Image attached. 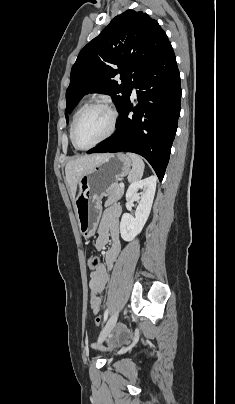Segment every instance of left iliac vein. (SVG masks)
<instances>
[{
	"instance_id": "left-iliac-vein-1",
	"label": "left iliac vein",
	"mask_w": 235,
	"mask_h": 404,
	"mask_svg": "<svg viewBox=\"0 0 235 404\" xmlns=\"http://www.w3.org/2000/svg\"><path fill=\"white\" fill-rule=\"evenodd\" d=\"M118 319V312H115L107 321L106 325L104 326V328L102 329L99 338H98V344H101L106 338L107 336L111 333V331L113 330V328L116 325Z\"/></svg>"
}]
</instances>
